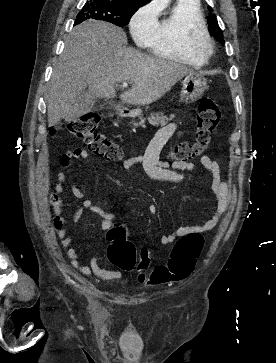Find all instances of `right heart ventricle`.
I'll use <instances>...</instances> for the list:
<instances>
[{
    "instance_id": "1",
    "label": "right heart ventricle",
    "mask_w": 276,
    "mask_h": 363,
    "mask_svg": "<svg viewBox=\"0 0 276 363\" xmlns=\"http://www.w3.org/2000/svg\"><path fill=\"white\" fill-rule=\"evenodd\" d=\"M193 26L206 28L198 0H177L158 22L146 45L155 56L200 68L205 61L191 54L186 46L188 30Z\"/></svg>"
}]
</instances>
